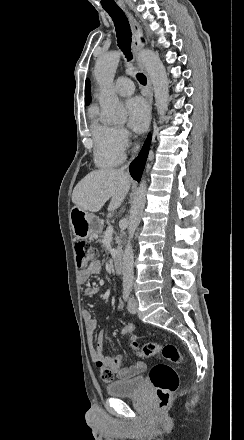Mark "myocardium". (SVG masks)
I'll list each match as a JSON object with an SVG mask.
<instances>
[{
  "label": "myocardium",
  "instance_id": "f54148a6",
  "mask_svg": "<svg viewBox=\"0 0 244 440\" xmlns=\"http://www.w3.org/2000/svg\"><path fill=\"white\" fill-rule=\"evenodd\" d=\"M90 128H91V127H89V131H90ZM93 139H94V137H93ZM94 141H95V140H94Z\"/></svg>",
  "mask_w": 244,
  "mask_h": 440
}]
</instances>
